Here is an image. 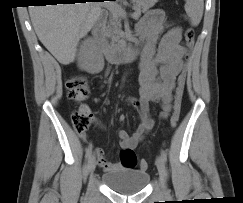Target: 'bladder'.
<instances>
[{
    "label": "bladder",
    "instance_id": "1",
    "mask_svg": "<svg viewBox=\"0 0 243 203\" xmlns=\"http://www.w3.org/2000/svg\"><path fill=\"white\" fill-rule=\"evenodd\" d=\"M147 171L119 168L102 174L103 183L122 195H132L142 191L149 182Z\"/></svg>",
    "mask_w": 243,
    "mask_h": 203
}]
</instances>
